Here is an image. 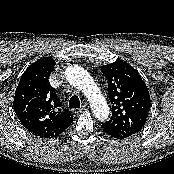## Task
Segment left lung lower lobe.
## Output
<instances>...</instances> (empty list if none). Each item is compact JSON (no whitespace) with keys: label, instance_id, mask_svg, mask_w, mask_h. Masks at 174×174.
<instances>
[{"label":"left lung lower lobe","instance_id":"1","mask_svg":"<svg viewBox=\"0 0 174 174\" xmlns=\"http://www.w3.org/2000/svg\"><path fill=\"white\" fill-rule=\"evenodd\" d=\"M101 128L107 135H109L111 137H114V138H117V139H124V138H126V137H123L121 135H116L115 133L110 132L108 129L104 128L102 125H101Z\"/></svg>","mask_w":174,"mask_h":174}]
</instances>
